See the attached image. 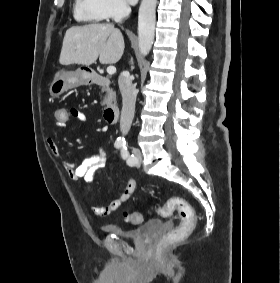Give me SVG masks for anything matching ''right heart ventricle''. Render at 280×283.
Segmentation results:
<instances>
[{
  "instance_id": "e07e8e85",
  "label": "right heart ventricle",
  "mask_w": 280,
  "mask_h": 283,
  "mask_svg": "<svg viewBox=\"0 0 280 283\" xmlns=\"http://www.w3.org/2000/svg\"><path fill=\"white\" fill-rule=\"evenodd\" d=\"M74 17L81 22H99L102 18L94 8V0H75Z\"/></svg>"
}]
</instances>
